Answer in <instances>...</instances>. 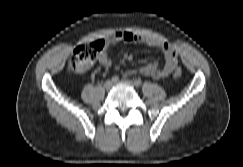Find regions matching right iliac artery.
I'll use <instances>...</instances> for the list:
<instances>
[{
	"mask_svg": "<svg viewBox=\"0 0 243 167\" xmlns=\"http://www.w3.org/2000/svg\"><path fill=\"white\" fill-rule=\"evenodd\" d=\"M119 80V77L117 75H114L112 78H111V81L113 83H116L117 81Z\"/></svg>",
	"mask_w": 243,
	"mask_h": 167,
	"instance_id": "right-iliac-artery-1",
	"label": "right iliac artery"
}]
</instances>
